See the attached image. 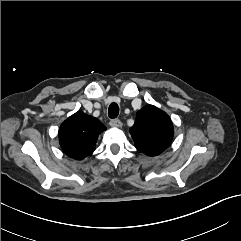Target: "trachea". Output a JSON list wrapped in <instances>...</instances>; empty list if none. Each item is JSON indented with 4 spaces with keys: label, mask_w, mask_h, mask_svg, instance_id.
Listing matches in <instances>:
<instances>
[{
    "label": "trachea",
    "mask_w": 241,
    "mask_h": 241,
    "mask_svg": "<svg viewBox=\"0 0 241 241\" xmlns=\"http://www.w3.org/2000/svg\"><path fill=\"white\" fill-rule=\"evenodd\" d=\"M119 114V106L116 103H111L109 106L108 116L115 119Z\"/></svg>",
    "instance_id": "trachea-1"
}]
</instances>
